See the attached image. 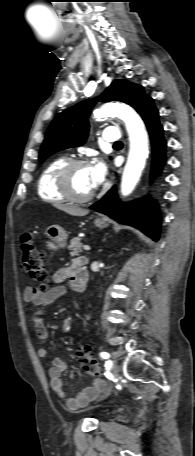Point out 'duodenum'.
I'll return each instance as SVG.
<instances>
[{
	"label": "duodenum",
	"mask_w": 195,
	"mask_h": 456,
	"mask_svg": "<svg viewBox=\"0 0 195 456\" xmlns=\"http://www.w3.org/2000/svg\"><path fill=\"white\" fill-rule=\"evenodd\" d=\"M89 280L88 271L84 265V262L81 264L79 268L73 274L72 278V286L74 290L77 292L85 291Z\"/></svg>",
	"instance_id": "obj_1"
}]
</instances>
